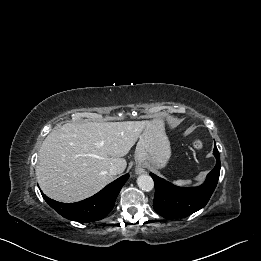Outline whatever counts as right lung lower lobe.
I'll list each match as a JSON object with an SVG mask.
<instances>
[{
	"label": "right lung lower lobe",
	"instance_id": "1",
	"mask_svg": "<svg viewBox=\"0 0 261 261\" xmlns=\"http://www.w3.org/2000/svg\"><path fill=\"white\" fill-rule=\"evenodd\" d=\"M129 174L107 185L94 196L77 203H61L42 194L45 201L61 216L78 222H92L105 218L113 209L115 200Z\"/></svg>",
	"mask_w": 261,
	"mask_h": 261
}]
</instances>
